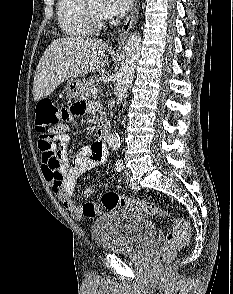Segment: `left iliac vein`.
Instances as JSON below:
<instances>
[{
	"instance_id": "4c4485c4",
	"label": "left iliac vein",
	"mask_w": 233,
	"mask_h": 294,
	"mask_svg": "<svg viewBox=\"0 0 233 294\" xmlns=\"http://www.w3.org/2000/svg\"><path fill=\"white\" fill-rule=\"evenodd\" d=\"M124 177H125L127 184L129 185V187L131 189H133L135 191H138L140 189V186L138 185V183L131 179V171L129 169H125Z\"/></svg>"
}]
</instances>
